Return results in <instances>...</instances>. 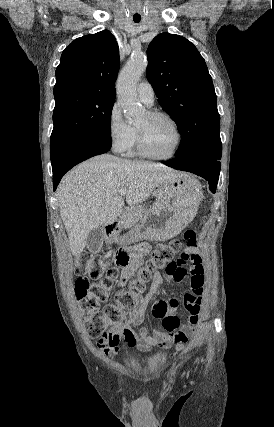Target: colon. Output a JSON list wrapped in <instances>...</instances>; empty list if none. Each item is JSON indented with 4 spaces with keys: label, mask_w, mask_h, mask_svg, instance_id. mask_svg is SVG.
Instances as JSON below:
<instances>
[{
    "label": "colon",
    "mask_w": 274,
    "mask_h": 427,
    "mask_svg": "<svg viewBox=\"0 0 274 427\" xmlns=\"http://www.w3.org/2000/svg\"><path fill=\"white\" fill-rule=\"evenodd\" d=\"M194 234V236H197L195 231ZM182 246L183 245H179L177 243V239L159 245L150 255L145 266L139 270L138 278L130 283L129 288L120 290L117 293V299L124 305H132L135 294L143 288V282L147 281L155 271L165 270L168 263L179 259L182 253ZM139 253V249L132 245L129 246L126 251L124 249H119L108 256L110 266L105 274H101V280L106 291H110L112 289L117 278V271L124 267L128 263L129 259H136L139 256ZM99 271V262L94 258H90L88 251L81 250L78 252L75 273L80 277H78L74 283L75 294L78 297H85L88 294V280L86 278L96 276ZM105 300V295L103 293H99L96 297L88 298L83 301L82 319L89 335L95 340L97 339L98 334L104 329L106 319H114L119 314L117 308L112 304L107 305L104 311H100L99 306L100 304H103ZM177 352L183 353L184 347L178 346ZM169 357L175 358L176 352L170 351ZM177 362L178 364H189L190 357L189 355H178Z\"/></svg>",
    "instance_id": "1"
}]
</instances>
